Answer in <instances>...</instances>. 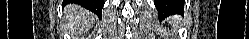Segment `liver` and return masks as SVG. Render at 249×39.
Here are the masks:
<instances>
[{
	"label": "liver",
	"instance_id": "1",
	"mask_svg": "<svg viewBox=\"0 0 249 39\" xmlns=\"http://www.w3.org/2000/svg\"><path fill=\"white\" fill-rule=\"evenodd\" d=\"M75 13L79 15V20L82 25L87 24L90 20H93L94 16L89 11L80 8L78 6L75 7Z\"/></svg>",
	"mask_w": 249,
	"mask_h": 39
}]
</instances>
